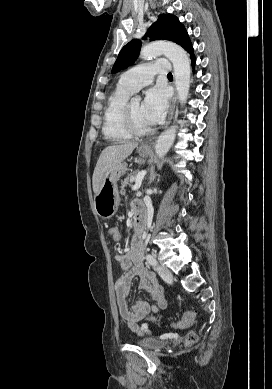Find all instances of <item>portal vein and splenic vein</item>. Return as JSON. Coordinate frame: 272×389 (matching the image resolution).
<instances>
[{"label": "portal vein and splenic vein", "instance_id": "obj_1", "mask_svg": "<svg viewBox=\"0 0 272 389\" xmlns=\"http://www.w3.org/2000/svg\"><path fill=\"white\" fill-rule=\"evenodd\" d=\"M146 171H141L137 174L136 179H135V185L132 187V190H138L142 184V181L146 175Z\"/></svg>", "mask_w": 272, "mask_h": 389}]
</instances>
